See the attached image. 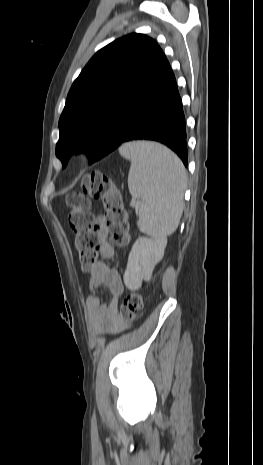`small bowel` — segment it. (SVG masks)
<instances>
[{
	"mask_svg": "<svg viewBox=\"0 0 263 465\" xmlns=\"http://www.w3.org/2000/svg\"><path fill=\"white\" fill-rule=\"evenodd\" d=\"M99 238V254L103 259L114 256L115 250L108 240V230L100 222L96 229ZM101 287L107 288L112 294V298L107 302H102L98 290ZM90 295L86 301L85 314L92 328L95 331L107 329L115 334H135L137 322H126L121 325L117 322L119 298L124 293V285L120 274L103 261H98L93 269L89 281Z\"/></svg>",
	"mask_w": 263,
	"mask_h": 465,
	"instance_id": "c3829d8e",
	"label": "small bowel"
}]
</instances>
